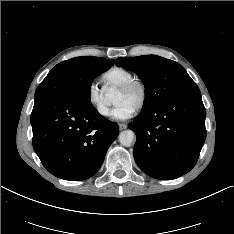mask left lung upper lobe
Returning a JSON list of instances; mask_svg holds the SVG:
<instances>
[{
	"label": "left lung upper lobe",
	"instance_id": "left-lung-upper-lobe-1",
	"mask_svg": "<svg viewBox=\"0 0 234 234\" xmlns=\"http://www.w3.org/2000/svg\"><path fill=\"white\" fill-rule=\"evenodd\" d=\"M116 65L135 72L142 80L145 99L141 113L154 109L165 99L195 85L180 64L160 56L117 58Z\"/></svg>",
	"mask_w": 234,
	"mask_h": 234
}]
</instances>
